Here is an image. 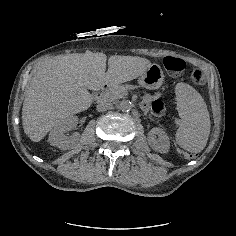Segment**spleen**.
<instances>
[{"mask_svg": "<svg viewBox=\"0 0 236 236\" xmlns=\"http://www.w3.org/2000/svg\"><path fill=\"white\" fill-rule=\"evenodd\" d=\"M176 101L181 118L176 132L177 144L189 152H200L205 148L210 134L207 105L200 93L188 84L176 87Z\"/></svg>", "mask_w": 236, "mask_h": 236, "instance_id": "spleen-1", "label": "spleen"}]
</instances>
